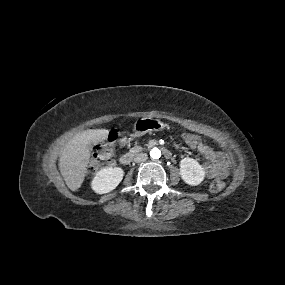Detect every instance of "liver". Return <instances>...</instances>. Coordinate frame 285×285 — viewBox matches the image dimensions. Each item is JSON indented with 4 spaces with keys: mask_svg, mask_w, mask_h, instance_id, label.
I'll list each match as a JSON object with an SVG mask.
<instances>
[{
    "mask_svg": "<svg viewBox=\"0 0 285 285\" xmlns=\"http://www.w3.org/2000/svg\"><path fill=\"white\" fill-rule=\"evenodd\" d=\"M108 135L106 129H89L80 132L69 142L61 157L60 171L70 190H78L84 181L90 146L104 141Z\"/></svg>",
    "mask_w": 285,
    "mask_h": 285,
    "instance_id": "obj_1",
    "label": "liver"
}]
</instances>
